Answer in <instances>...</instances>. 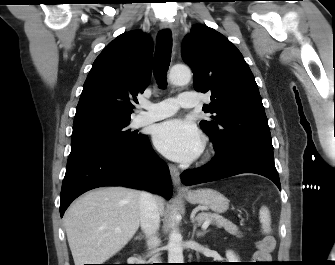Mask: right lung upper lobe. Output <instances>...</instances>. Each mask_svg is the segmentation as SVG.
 Returning a JSON list of instances; mask_svg holds the SVG:
<instances>
[{
    "instance_id": "right-lung-upper-lobe-1",
    "label": "right lung upper lobe",
    "mask_w": 335,
    "mask_h": 265,
    "mask_svg": "<svg viewBox=\"0 0 335 265\" xmlns=\"http://www.w3.org/2000/svg\"><path fill=\"white\" fill-rule=\"evenodd\" d=\"M152 54V40L140 30L123 33L109 43L86 78L73 127L130 121L136 96L150 83Z\"/></svg>"
}]
</instances>
